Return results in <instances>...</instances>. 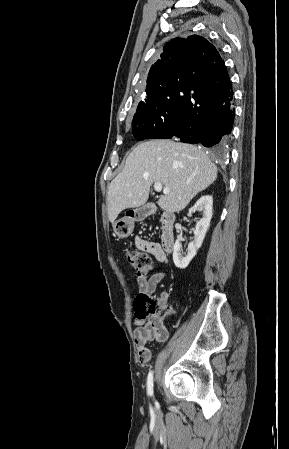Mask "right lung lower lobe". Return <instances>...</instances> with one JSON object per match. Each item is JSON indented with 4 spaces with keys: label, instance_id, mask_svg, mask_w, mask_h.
Instances as JSON below:
<instances>
[{
    "label": "right lung lower lobe",
    "instance_id": "obj_1",
    "mask_svg": "<svg viewBox=\"0 0 289 449\" xmlns=\"http://www.w3.org/2000/svg\"><path fill=\"white\" fill-rule=\"evenodd\" d=\"M178 110L173 122L151 138L179 137L221 151L231 133L235 109L233 89L226 66L207 81L180 82Z\"/></svg>",
    "mask_w": 289,
    "mask_h": 449
}]
</instances>
